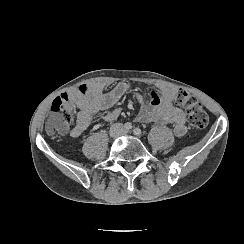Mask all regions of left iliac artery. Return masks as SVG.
<instances>
[{"mask_svg":"<svg viewBox=\"0 0 244 244\" xmlns=\"http://www.w3.org/2000/svg\"><path fill=\"white\" fill-rule=\"evenodd\" d=\"M133 133H134L136 136H140V135L142 134V131H141V129H139V128H135V129L133 130Z\"/></svg>","mask_w":244,"mask_h":244,"instance_id":"44dca946","label":"left iliac artery"}]
</instances>
